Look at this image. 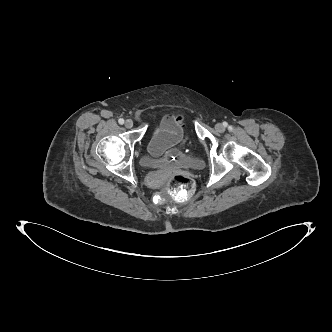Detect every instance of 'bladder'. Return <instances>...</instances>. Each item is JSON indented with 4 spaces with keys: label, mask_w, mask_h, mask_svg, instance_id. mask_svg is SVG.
I'll use <instances>...</instances> for the list:
<instances>
[{
    "label": "bladder",
    "mask_w": 332,
    "mask_h": 332,
    "mask_svg": "<svg viewBox=\"0 0 332 332\" xmlns=\"http://www.w3.org/2000/svg\"><path fill=\"white\" fill-rule=\"evenodd\" d=\"M180 133L181 125L174 119L168 120V128L164 133ZM155 141L151 139L147 144V152L143 154L139 163L145 168L171 167V168H199L201 159L189 155L175 147V142L166 144L159 152L154 151Z\"/></svg>",
    "instance_id": "31cf9c89"
}]
</instances>
